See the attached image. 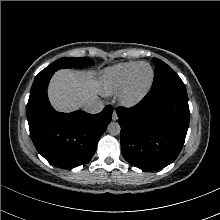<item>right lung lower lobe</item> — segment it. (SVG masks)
<instances>
[{"instance_id": "right-lung-lower-lobe-1", "label": "right lung lower lobe", "mask_w": 220, "mask_h": 220, "mask_svg": "<svg viewBox=\"0 0 220 220\" xmlns=\"http://www.w3.org/2000/svg\"><path fill=\"white\" fill-rule=\"evenodd\" d=\"M53 74L36 76L27 104V120L37 151L54 166L72 169L93 157L98 140L111 121L113 107L107 105L98 114L55 111L47 97Z\"/></svg>"}]
</instances>
